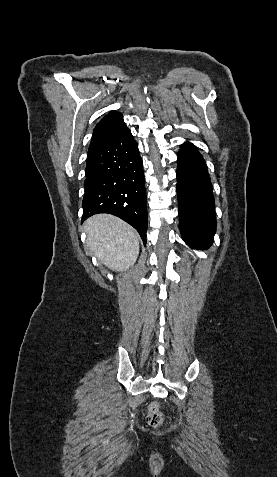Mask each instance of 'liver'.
<instances>
[{
  "instance_id": "1",
  "label": "liver",
  "mask_w": 277,
  "mask_h": 477,
  "mask_svg": "<svg viewBox=\"0 0 277 477\" xmlns=\"http://www.w3.org/2000/svg\"><path fill=\"white\" fill-rule=\"evenodd\" d=\"M86 246L114 271H125L137 260L139 236L126 222L110 214H96L84 223Z\"/></svg>"
}]
</instances>
